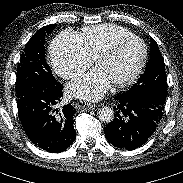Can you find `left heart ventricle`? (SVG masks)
I'll return each mask as SVG.
<instances>
[{
    "instance_id": "left-heart-ventricle-1",
    "label": "left heart ventricle",
    "mask_w": 183,
    "mask_h": 183,
    "mask_svg": "<svg viewBox=\"0 0 183 183\" xmlns=\"http://www.w3.org/2000/svg\"><path fill=\"white\" fill-rule=\"evenodd\" d=\"M143 53L140 42L131 40L123 43L114 54L100 60L96 67L101 69L111 84L130 76L138 66Z\"/></svg>"
}]
</instances>
